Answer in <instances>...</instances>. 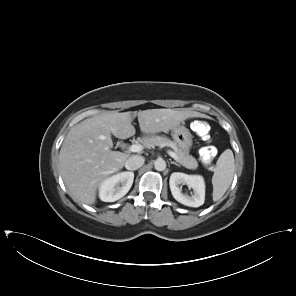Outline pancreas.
<instances>
[{"mask_svg": "<svg viewBox=\"0 0 296 296\" xmlns=\"http://www.w3.org/2000/svg\"><path fill=\"white\" fill-rule=\"evenodd\" d=\"M141 142L146 148L159 147H171L175 154L178 156V162L187 169L195 170L198 167L196 159L189 155V151L180 149L177 144L170 139L158 135L146 136L141 139Z\"/></svg>", "mask_w": 296, "mask_h": 296, "instance_id": "obj_1", "label": "pancreas"}]
</instances>
